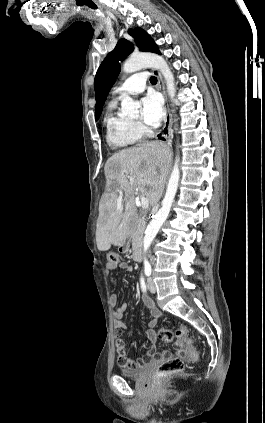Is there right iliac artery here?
Instances as JSON below:
<instances>
[{
    "instance_id": "obj_1",
    "label": "right iliac artery",
    "mask_w": 265,
    "mask_h": 423,
    "mask_svg": "<svg viewBox=\"0 0 265 423\" xmlns=\"http://www.w3.org/2000/svg\"><path fill=\"white\" fill-rule=\"evenodd\" d=\"M140 284H141L142 291L146 292V284H145V279L143 276L140 278Z\"/></svg>"
}]
</instances>
